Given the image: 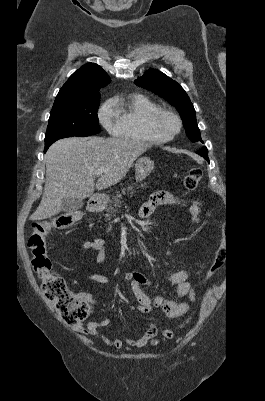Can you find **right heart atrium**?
Segmentation results:
<instances>
[{
  "instance_id": "1",
  "label": "right heart atrium",
  "mask_w": 265,
  "mask_h": 401,
  "mask_svg": "<svg viewBox=\"0 0 265 401\" xmlns=\"http://www.w3.org/2000/svg\"><path fill=\"white\" fill-rule=\"evenodd\" d=\"M98 117L100 122L109 129H114L116 125V116L113 113L110 101L104 102L99 110Z\"/></svg>"
}]
</instances>
